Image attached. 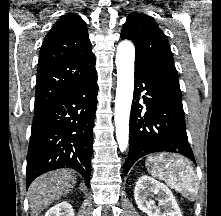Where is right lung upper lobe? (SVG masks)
I'll use <instances>...</instances> for the list:
<instances>
[{
    "instance_id": "1",
    "label": "right lung upper lobe",
    "mask_w": 221,
    "mask_h": 216,
    "mask_svg": "<svg viewBox=\"0 0 221 216\" xmlns=\"http://www.w3.org/2000/svg\"><path fill=\"white\" fill-rule=\"evenodd\" d=\"M86 23L76 14L62 16L41 47L34 112L96 76Z\"/></svg>"
}]
</instances>
